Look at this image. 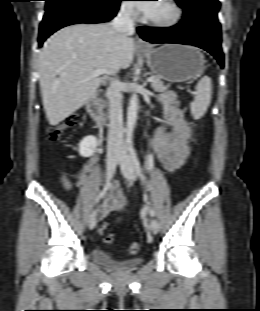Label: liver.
<instances>
[{"mask_svg":"<svg viewBox=\"0 0 260 311\" xmlns=\"http://www.w3.org/2000/svg\"><path fill=\"white\" fill-rule=\"evenodd\" d=\"M131 34L122 35L111 24H75L60 29L39 55L40 89L49 124L55 126L85 105L95 94L96 69L116 72L133 61Z\"/></svg>","mask_w":260,"mask_h":311,"instance_id":"1","label":"liver"}]
</instances>
